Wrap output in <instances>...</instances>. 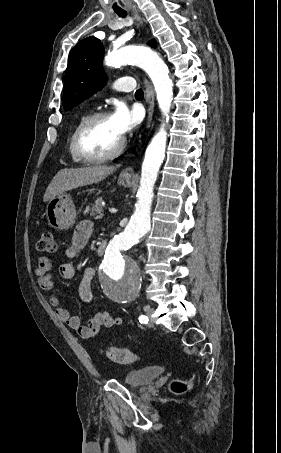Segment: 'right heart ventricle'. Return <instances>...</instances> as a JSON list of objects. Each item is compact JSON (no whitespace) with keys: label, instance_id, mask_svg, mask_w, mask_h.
Wrapping results in <instances>:
<instances>
[{"label":"right heart ventricle","instance_id":"right-heart-ventricle-1","mask_svg":"<svg viewBox=\"0 0 281 453\" xmlns=\"http://www.w3.org/2000/svg\"><path fill=\"white\" fill-rule=\"evenodd\" d=\"M87 118V116H82L81 118H79V120L75 123V125L73 126L70 134H69V150H70V153H71V156L73 158L74 161L76 162H82V159L77 155L76 153V149H75V135H76V132H77V129L78 127L80 126V124Z\"/></svg>","mask_w":281,"mask_h":453}]
</instances>
